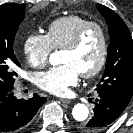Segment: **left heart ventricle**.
<instances>
[{"instance_id": "1", "label": "left heart ventricle", "mask_w": 133, "mask_h": 133, "mask_svg": "<svg viewBox=\"0 0 133 133\" xmlns=\"http://www.w3.org/2000/svg\"><path fill=\"white\" fill-rule=\"evenodd\" d=\"M101 36L97 29H90L81 45L72 51L63 50L61 53L62 63L73 64L80 73L93 69L98 63L101 53Z\"/></svg>"}]
</instances>
